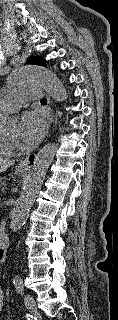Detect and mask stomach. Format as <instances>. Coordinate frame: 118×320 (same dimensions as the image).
Segmentation results:
<instances>
[{"label": "stomach", "mask_w": 118, "mask_h": 320, "mask_svg": "<svg viewBox=\"0 0 118 320\" xmlns=\"http://www.w3.org/2000/svg\"><path fill=\"white\" fill-rule=\"evenodd\" d=\"M26 170H27L26 168L19 166L16 169V174H24L26 172Z\"/></svg>", "instance_id": "obj_1"}]
</instances>
